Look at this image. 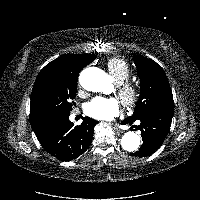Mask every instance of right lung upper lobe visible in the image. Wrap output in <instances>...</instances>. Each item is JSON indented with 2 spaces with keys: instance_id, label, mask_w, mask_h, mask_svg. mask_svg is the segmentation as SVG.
I'll return each instance as SVG.
<instances>
[{
  "instance_id": "cb5924a9",
  "label": "right lung upper lobe",
  "mask_w": 200,
  "mask_h": 200,
  "mask_svg": "<svg viewBox=\"0 0 200 200\" xmlns=\"http://www.w3.org/2000/svg\"><path fill=\"white\" fill-rule=\"evenodd\" d=\"M95 58L94 54H68L51 61L38 74L33 90L43 84L77 79L80 71Z\"/></svg>"
}]
</instances>
